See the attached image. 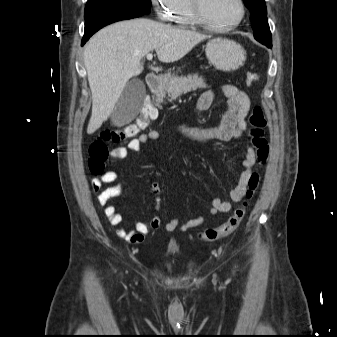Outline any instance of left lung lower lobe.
<instances>
[{
  "instance_id": "1",
  "label": "left lung lower lobe",
  "mask_w": 337,
  "mask_h": 337,
  "mask_svg": "<svg viewBox=\"0 0 337 337\" xmlns=\"http://www.w3.org/2000/svg\"><path fill=\"white\" fill-rule=\"evenodd\" d=\"M267 47L271 48L272 44H265Z\"/></svg>"
}]
</instances>
